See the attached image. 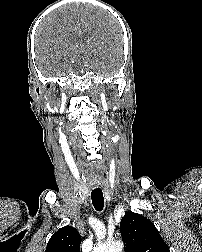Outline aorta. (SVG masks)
Listing matches in <instances>:
<instances>
[{"mask_svg":"<svg viewBox=\"0 0 202 252\" xmlns=\"http://www.w3.org/2000/svg\"><path fill=\"white\" fill-rule=\"evenodd\" d=\"M123 244L119 241L106 243V244H98L94 247L93 252H122Z\"/></svg>","mask_w":202,"mask_h":252,"instance_id":"762f6f07","label":"aorta"}]
</instances>
